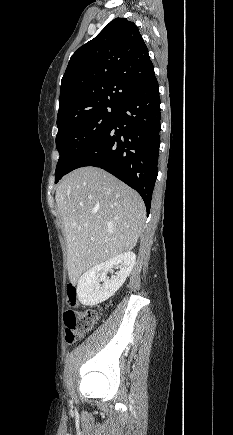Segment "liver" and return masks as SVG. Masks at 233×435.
Listing matches in <instances>:
<instances>
[{
    "mask_svg": "<svg viewBox=\"0 0 233 435\" xmlns=\"http://www.w3.org/2000/svg\"><path fill=\"white\" fill-rule=\"evenodd\" d=\"M71 283L91 267L134 248L145 222L140 195L97 167L69 173L56 190Z\"/></svg>",
    "mask_w": 233,
    "mask_h": 435,
    "instance_id": "6515ba94",
    "label": "liver"
}]
</instances>
